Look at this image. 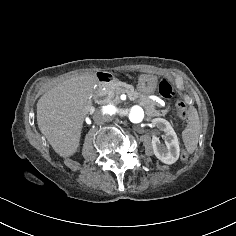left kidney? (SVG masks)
I'll return each mask as SVG.
<instances>
[{"mask_svg": "<svg viewBox=\"0 0 236 236\" xmlns=\"http://www.w3.org/2000/svg\"><path fill=\"white\" fill-rule=\"evenodd\" d=\"M152 125L164 132L162 138L164 143H161L159 137L153 135L152 147L155 156L166 164H173L180 155V147L177 135L170 123L163 118H154Z\"/></svg>", "mask_w": 236, "mask_h": 236, "instance_id": "1", "label": "left kidney"}]
</instances>
